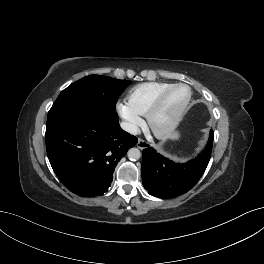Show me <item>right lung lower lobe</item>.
I'll return each mask as SVG.
<instances>
[{"mask_svg":"<svg viewBox=\"0 0 264 264\" xmlns=\"http://www.w3.org/2000/svg\"><path fill=\"white\" fill-rule=\"evenodd\" d=\"M45 140L60 181L88 197L108 191L118 161L137 143L121 129L115 110L96 105L76 107L46 126Z\"/></svg>","mask_w":264,"mask_h":264,"instance_id":"obj_1","label":"right lung lower lobe"}]
</instances>
